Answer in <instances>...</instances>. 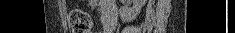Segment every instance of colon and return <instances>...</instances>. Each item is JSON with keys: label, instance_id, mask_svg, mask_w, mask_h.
Segmentation results:
<instances>
[{"label": "colon", "instance_id": "1", "mask_svg": "<svg viewBox=\"0 0 235 33\" xmlns=\"http://www.w3.org/2000/svg\"><path fill=\"white\" fill-rule=\"evenodd\" d=\"M73 33H91L94 28L92 16L82 10H73L69 15Z\"/></svg>", "mask_w": 235, "mask_h": 33}]
</instances>
